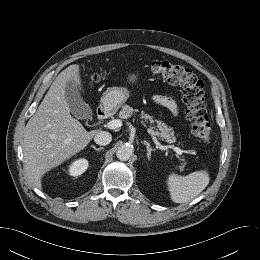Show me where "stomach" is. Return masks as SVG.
I'll list each match as a JSON object with an SVG mask.
<instances>
[{
	"label": "stomach",
	"mask_w": 260,
	"mask_h": 260,
	"mask_svg": "<svg viewBox=\"0 0 260 260\" xmlns=\"http://www.w3.org/2000/svg\"><path fill=\"white\" fill-rule=\"evenodd\" d=\"M137 79V74H131L129 81L134 83ZM130 96V92L124 87H110L108 88L102 98L101 102L106 109H118L124 104Z\"/></svg>",
	"instance_id": "0dacf381"
}]
</instances>
